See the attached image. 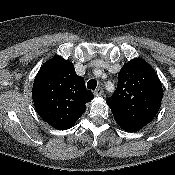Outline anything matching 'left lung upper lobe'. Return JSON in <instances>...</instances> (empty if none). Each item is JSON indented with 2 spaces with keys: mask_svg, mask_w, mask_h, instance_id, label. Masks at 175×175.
<instances>
[{
  "mask_svg": "<svg viewBox=\"0 0 175 175\" xmlns=\"http://www.w3.org/2000/svg\"><path fill=\"white\" fill-rule=\"evenodd\" d=\"M162 97V85L153 68L135 58L121 68L117 89L106 102L115 121L145 126L156 116Z\"/></svg>",
  "mask_w": 175,
  "mask_h": 175,
  "instance_id": "left-lung-upper-lobe-1",
  "label": "left lung upper lobe"
}]
</instances>
